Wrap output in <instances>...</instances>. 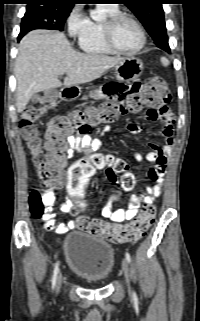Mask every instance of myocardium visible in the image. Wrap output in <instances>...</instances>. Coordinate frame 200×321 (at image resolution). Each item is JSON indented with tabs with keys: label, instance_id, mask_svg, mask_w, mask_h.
<instances>
[{
	"label": "myocardium",
	"instance_id": "obj_1",
	"mask_svg": "<svg viewBox=\"0 0 200 321\" xmlns=\"http://www.w3.org/2000/svg\"><path fill=\"white\" fill-rule=\"evenodd\" d=\"M124 19L130 20L131 22H133L134 25L137 27L141 36L140 45L132 51L122 50L121 48L118 47L115 41V29L118 23ZM103 36H104L105 43L109 47V49L114 53H117L120 55H126V56L136 55L140 51H142V49L146 45V33L143 26L134 16L125 12H118L106 18V20L103 22Z\"/></svg>",
	"mask_w": 200,
	"mask_h": 321
}]
</instances>
